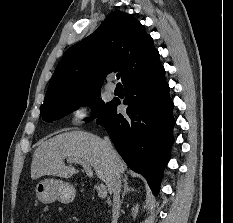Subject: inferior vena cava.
Instances as JSON below:
<instances>
[{"mask_svg": "<svg viewBox=\"0 0 233 223\" xmlns=\"http://www.w3.org/2000/svg\"><path fill=\"white\" fill-rule=\"evenodd\" d=\"M103 141L107 153H109L111 159H115V157H117V153L115 149H113L109 137L105 135ZM110 189H112V193H113L111 223H117L118 211L120 209V191H121V173H120L119 165H113V177H112Z\"/></svg>", "mask_w": 233, "mask_h": 223, "instance_id": "obj_1", "label": "inferior vena cava"}]
</instances>
